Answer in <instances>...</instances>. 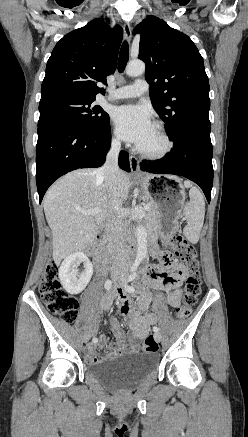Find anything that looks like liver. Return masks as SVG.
Here are the masks:
<instances>
[{"label": "liver", "instance_id": "liver-1", "mask_svg": "<svg viewBox=\"0 0 248 437\" xmlns=\"http://www.w3.org/2000/svg\"><path fill=\"white\" fill-rule=\"evenodd\" d=\"M129 176L120 171L118 200L120 207L127 200ZM43 207L53 235V260L87 249L95 240L102 222L114 213L110 193L97 169H79L59 179L45 194ZM99 209L98 216L82 210Z\"/></svg>", "mask_w": 248, "mask_h": 437}]
</instances>
